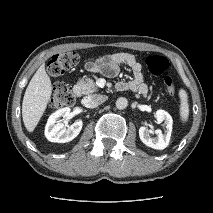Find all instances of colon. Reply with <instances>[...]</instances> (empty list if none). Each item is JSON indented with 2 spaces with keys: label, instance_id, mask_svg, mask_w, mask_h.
<instances>
[{
  "label": "colon",
  "instance_id": "1",
  "mask_svg": "<svg viewBox=\"0 0 213 213\" xmlns=\"http://www.w3.org/2000/svg\"><path fill=\"white\" fill-rule=\"evenodd\" d=\"M79 62V56L75 52H64L51 57L47 64V71L52 76H59L72 70ZM146 66L150 73L160 75L164 73L169 62L167 58L160 55H151L146 59ZM164 89L168 95H173L176 91V83L172 77L164 80ZM75 102L74 93L64 83H57L53 87L50 99L51 107L58 109L67 107Z\"/></svg>",
  "mask_w": 213,
  "mask_h": 213
}]
</instances>
